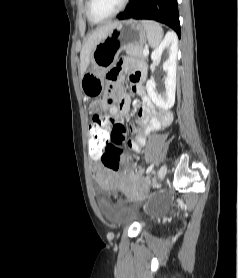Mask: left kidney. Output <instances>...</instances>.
<instances>
[{"label": "left kidney", "instance_id": "1", "mask_svg": "<svg viewBox=\"0 0 238 278\" xmlns=\"http://www.w3.org/2000/svg\"><path fill=\"white\" fill-rule=\"evenodd\" d=\"M178 41L174 33L166 34L161 44L152 52L151 59L154 64L161 61L162 54L167 55V60L163 64V70L166 72L165 92L160 94L156 91L154 79L147 81L146 89L153 103L164 110H169L175 103L176 88V61H177Z\"/></svg>", "mask_w": 238, "mask_h": 278}]
</instances>
